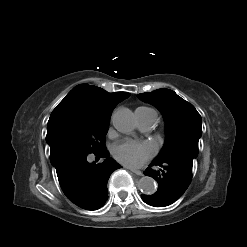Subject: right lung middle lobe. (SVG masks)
Returning <instances> with one entry per match:
<instances>
[{
	"label": "right lung middle lobe",
	"mask_w": 247,
	"mask_h": 247,
	"mask_svg": "<svg viewBox=\"0 0 247 247\" xmlns=\"http://www.w3.org/2000/svg\"><path fill=\"white\" fill-rule=\"evenodd\" d=\"M109 122L110 118L93 115L74 100H62L49 118L46 141L50 148L98 153L105 149Z\"/></svg>",
	"instance_id": "right-lung-middle-lobe-1"
}]
</instances>
